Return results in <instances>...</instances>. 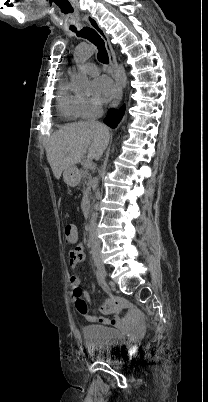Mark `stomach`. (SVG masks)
<instances>
[{
  "label": "stomach",
  "instance_id": "obj_1",
  "mask_svg": "<svg viewBox=\"0 0 208 402\" xmlns=\"http://www.w3.org/2000/svg\"><path fill=\"white\" fill-rule=\"evenodd\" d=\"M63 180L67 186H71V188H75L78 186L80 182V176L76 170V168H66L63 172Z\"/></svg>",
  "mask_w": 208,
  "mask_h": 402
}]
</instances>
